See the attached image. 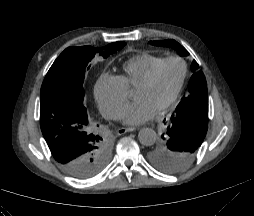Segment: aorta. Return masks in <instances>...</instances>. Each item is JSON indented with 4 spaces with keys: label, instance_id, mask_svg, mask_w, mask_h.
Here are the masks:
<instances>
[{
    "label": "aorta",
    "instance_id": "obj_1",
    "mask_svg": "<svg viewBox=\"0 0 254 216\" xmlns=\"http://www.w3.org/2000/svg\"><path fill=\"white\" fill-rule=\"evenodd\" d=\"M139 142L144 146H151L156 142L157 134L151 128H142L138 134Z\"/></svg>",
    "mask_w": 254,
    "mask_h": 216
}]
</instances>
